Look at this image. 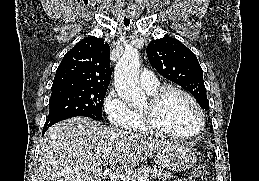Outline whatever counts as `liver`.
<instances>
[{"mask_svg":"<svg viewBox=\"0 0 259 181\" xmlns=\"http://www.w3.org/2000/svg\"><path fill=\"white\" fill-rule=\"evenodd\" d=\"M171 144L74 117L53 125L42 138L39 181H99L105 162L118 172L130 171Z\"/></svg>","mask_w":259,"mask_h":181,"instance_id":"obj_1","label":"liver"}]
</instances>
